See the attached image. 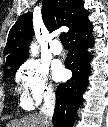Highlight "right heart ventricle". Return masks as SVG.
Masks as SVG:
<instances>
[{"label":"right heart ventricle","mask_w":108,"mask_h":127,"mask_svg":"<svg viewBox=\"0 0 108 127\" xmlns=\"http://www.w3.org/2000/svg\"><path fill=\"white\" fill-rule=\"evenodd\" d=\"M23 105H24L25 107H28V106H29V104H28L26 101L23 102Z\"/></svg>","instance_id":"obj_1"}]
</instances>
